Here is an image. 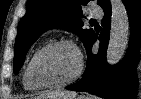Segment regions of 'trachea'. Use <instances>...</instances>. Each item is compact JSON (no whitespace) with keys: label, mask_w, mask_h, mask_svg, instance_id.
Wrapping results in <instances>:
<instances>
[{"label":"trachea","mask_w":141,"mask_h":99,"mask_svg":"<svg viewBox=\"0 0 141 99\" xmlns=\"http://www.w3.org/2000/svg\"><path fill=\"white\" fill-rule=\"evenodd\" d=\"M91 22H96V20H94V19H91Z\"/></svg>","instance_id":"3493384b"}]
</instances>
